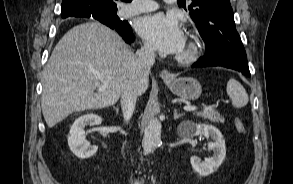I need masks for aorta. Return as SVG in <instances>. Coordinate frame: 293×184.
Returning <instances> with one entry per match:
<instances>
[{
    "instance_id": "obj_1",
    "label": "aorta",
    "mask_w": 293,
    "mask_h": 184,
    "mask_svg": "<svg viewBox=\"0 0 293 184\" xmlns=\"http://www.w3.org/2000/svg\"><path fill=\"white\" fill-rule=\"evenodd\" d=\"M161 141V122L157 118L150 120L144 131L142 140L143 150L146 154L153 152Z\"/></svg>"
}]
</instances>
